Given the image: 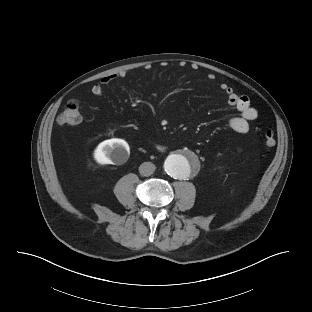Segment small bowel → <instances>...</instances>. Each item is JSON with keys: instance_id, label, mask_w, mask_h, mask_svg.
<instances>
[{"instance_id": "1", "label": "small bowel", "mask_w": 312, "mask_h": 312, "mask_svg": "<svg viewBox=\"0 0 312 312\" xmlns=\"http://www.w3.org/2000/svg\"><path fill=\"white\" fill-rule=\"evenodd\" d=\"M126 72L121 71L102 77L95 83L91 92L94 96L100 97L103 94V87L117 78H123ZM210 79L214 78L213 74H209ZM221 90L227 96V103L229 106L235 108L239 112V116L233 117L230 122V128L239 134H245L250 130L251 122L258 117V112L251 106L250 100L247 96L239 95L234 92L233 88L227 84H221Z\"/></svg>"}]
</instances>
